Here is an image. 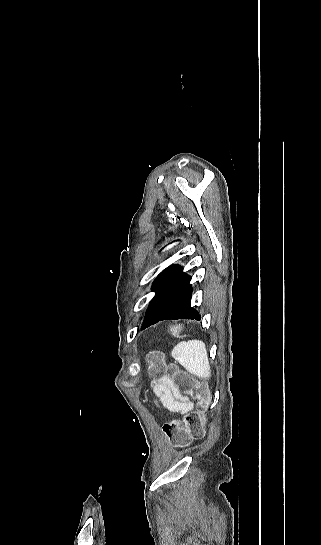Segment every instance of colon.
Listing matches in <instances>:
<instances>
[{
    "mask_svg": "<svg viewBox=\"0 0 321 545\" xmlns=\"http://www.w3.org/2000/svg\"><path fill=\"white\" fill-rule=\"evenodd\" d=\"M167 371L172 376V387L178 394H187L197 400V409L189 411L181 419H174L163 426V432L169 442L176 446L188 444L190 441L200 439L205 435L203 415L208 409L211 398L207 387L194 381L184 372L175 366H164L161 363H154L151 373L154 376Z\"/></svg>",
    "mask_w": 321,
    "mask_h": 545,
    "instance_id": "obj_1",
    "label": "colon"
}]
</instances>
